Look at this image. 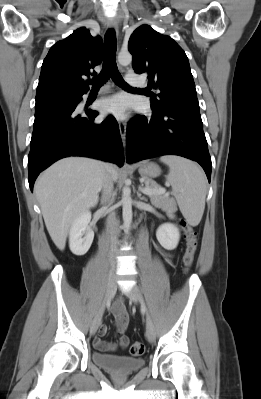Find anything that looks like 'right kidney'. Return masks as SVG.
Returning a JSON list of instances; mask_svg holds the SVG:
<instances>
[{
    "label": "right kidney",
    "mask_w": 261,
    "mask_h": 399,
    "mask_svg": "<svg viewBox=\"0 0 261 399\" xmlns=\"http://www.w3.org/2000/svg\"><path fill=\"white\" fill-rule=\"evenodd\" d=\"M91 212L81 213L72 223L69 231V247L73 254L82 256L89 250L94 232L89 227ZM84 236V237H83Z\"/></svg>",
    "instance_id": "ca27d5eb"
}]
</instances>
